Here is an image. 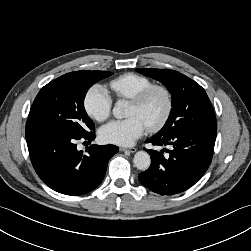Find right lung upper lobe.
I'll list each match as a JSON object with an SVG mask.
<instances>
[{"instance_id": "1", "label": "right lung upper lobe", "mask_w": 251, "mask_h": 251, "mask_svg": "<svg viewBox=\"0 0 251 251\" xmlns=\"http://www.w3.org/2000/svg\"><path fill=\"white\" fill-rule=\"evenodd\" d=\"M78 71H75V72H71V73H68V74H65V75H63V76H71V75H74V74H76Z\"/></svg>"}]
</instances>
